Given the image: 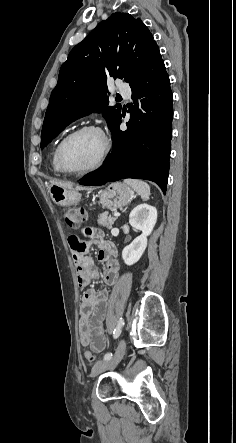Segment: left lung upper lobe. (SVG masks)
Instances as JSON below:
<instances>
[{
    "instance_id": "obj_1",
    "label": "left lung upper lobe",
    "mask_w": 236,
    "mask_h": 443,
    "mask_svg": "<svg viewBox=\"0 0 236 443\" xmlns=\"http://www.w3.org/2000/svg\"><path fill=\"white\" fill-rule=\"evenodd\" d=\"M156 45L146 25L128 13L116 12L100 22L61 66L43 122L41 148L71 122L95 110L103 112L111 129L121 110L106 107L108 78L128 83L136 79Z\"/></svg>"
}]
</instances>
